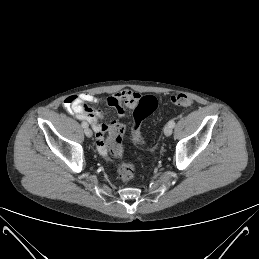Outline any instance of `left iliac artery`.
<instances>
[{
  "instance_id": "44dca946",
  "label": "left iliac artery",
  "mask_w": 259,
  "mask_h": 259,
  "mask_svg": "<svg viewBox=\"0 0 259 259\" xmlns=\"http://www.w3.org/2000/svg\"><path fill=\"white\" fill-rule=\"evenodd\" d=\"M168 124L173 128L175 126V121L174 120H170L168 122Z\"/></svg>"
}]
</instances>
